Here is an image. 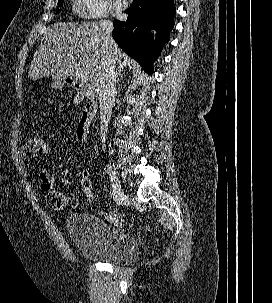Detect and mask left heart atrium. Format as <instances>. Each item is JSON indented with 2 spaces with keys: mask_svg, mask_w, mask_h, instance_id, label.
<instances>
[{
  "mask_svg": "<svg viewBox=\"0 0 272 303\" xmlns=\"http://www.w3.org/2000/svg\"><path fill=\"white\" fill-rule=\"evenodd\" d=\"M125 7V4L123 1L119 0L117 3H116V10L117 11H122Z\"/></svg>",
  "mask_w": 272,
  "mask_h": 303,
  "instance_id": "39dd6f15",
  "label": "left heart atrium"
}]
</instances>
